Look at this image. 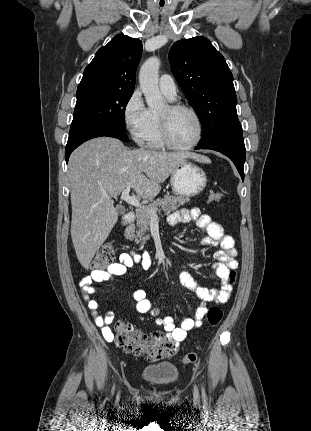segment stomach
Wrapping results in <instances>:
<instances>
[{"instance_id":"0dacf381","label":"stomach","mask_w":311,"mask_h":431,"mask_svg":"<svg viewBox=\"0 0 311 431\" xmlns=\"http://www.w3.org/2000/svg\"><path fill=\"white\" fill-rule=\"evenodd\" d=\"M171 188L177 196L193 198L198 196L206 188L207 176L199 166L192 162H185L175 168L170 178Z\"/></svg>"}]
</instances>
